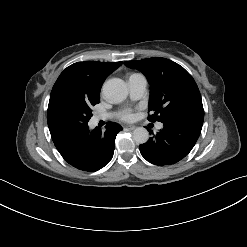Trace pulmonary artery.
<instances>
[{
	"label": "pulmonary artery",
	"mask_w": 247,
	"mask_h": 247,
	"mask_svg": "<svg viewBox=\"0 0 247 247\" xmlns=\"http://www.w3.org/2000/svg\"><path fill=\"white\" fill-rule=\"evenodd\" d=\"M128 86H129V92L130 97L133 100H138L142 98L146 92L147 87V80L144 75L142 74H132L128 78ZM104 116H97V119H103ZM158 129H161L163 125L161 123H158L156 125Z\"/></svg>",
	"instance_id": "e3ab8cb5"
}]
</instances>
